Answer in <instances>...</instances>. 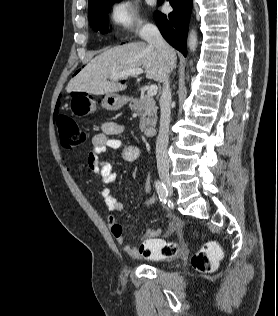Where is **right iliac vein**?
Returning <instances> with one entry per match:
<instances>
[{
    "label": "right iliac vein",
    "mask_w": 278,
    "mask_h": 316,
    "mask_svg": "<svg viewBox=\"0 0 278 316\" xmlns=\"http://www.w3.org/2000/svg\"><path fill=\"white\" fill-rule=\"evenodd\" d=\"M160 179H161L162 183L166 186L167 191H168L169 195L171 196L173 194V188L171 185V179H170L169 174L163 173V172L160 173Z\"/></svg>",
    "instance_id": "1"
}]
</instances>
